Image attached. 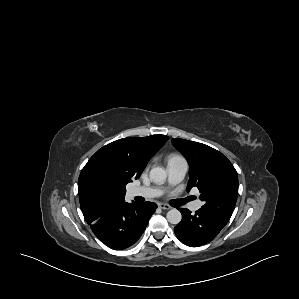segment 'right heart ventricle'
I'll list each match as a JSON object with an SVG mask.
<instances>
[{"instance_id": "e07e8e85", "label": "right heart ventricle", "mask_w": 299, "mask_h": 299, "mask_svg": "<svg viewBox=\"0 0 299 299\" xmlns=\"http://www.w3.org/2000/svg\"><path fill=\"white\" fill-rule=\"evenodd\" d=\"M180 159H182V157H180L179 155H177V154H171L168 157V162L174 161V160H180Z\"/></svg>"}]
</instances>
